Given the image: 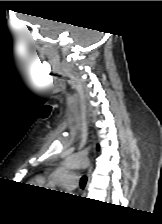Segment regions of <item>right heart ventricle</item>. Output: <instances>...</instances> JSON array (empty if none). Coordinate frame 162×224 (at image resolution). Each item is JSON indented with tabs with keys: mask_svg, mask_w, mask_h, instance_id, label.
Wrapping results in <instances>:
<instances>
[{
	"mask_svg": "<svg viewBox=\"0 0 162 224\" xmlns=\"http://www.w3.org/2000/svg\"><path fill=\"white\" fill-rule=\"evenodd\" d=\"M36 182H37V183H41V181H38V180H37Z\"/></svg>",
	"mask_w": 162,
	"mask_h": 224,
	"instance_id": "obj_1",
	"label": "right heart ventricle"
}]
</instances>
